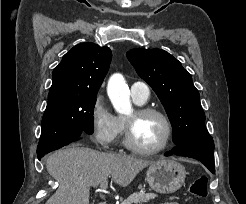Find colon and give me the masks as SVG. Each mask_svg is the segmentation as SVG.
<instances>
[{"instance_id":"1","label":"colon","mask_w":246,"mask_h":204,"mask_svg":"<svg viewBox=\"0 0 246 204\" xmlns=\"http://www.w3.org/2000/svg\"><path fill=\"white\" fill-rule=\"evenodd\" d=\"M189 191L196 197H206L208 194V179L205 176L198 177L191 183Z\"/></svg>"}]
</instances>
